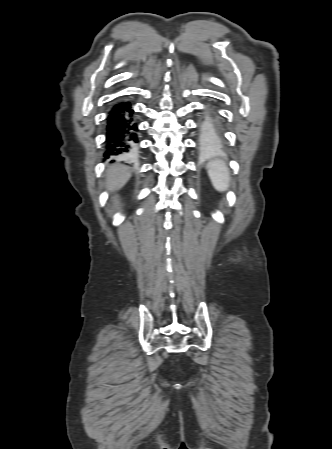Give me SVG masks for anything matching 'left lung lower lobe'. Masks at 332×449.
<instances>
[{
	"label": "left lung lower lobe",
	"mask_w": 332,
	"mask_h": 449,
	"mask_svg": "<svg viewBox=\"0 0 332 449\" xmlns=\"http://www.w3.org/2000/svg\"><path fill=\"white\" fill-rule=\"evenodd\" d=\"M199 145L204 151L219 149L223 145L222 129L214 110L203 111L200 123Z\"/></svg>",
	"instance_id": "left-lung-lower-lobe-1"
}]
</instances>
